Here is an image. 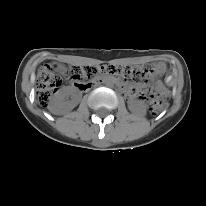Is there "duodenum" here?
Returning <instances> with one entry per match:
<instances>
[{
	"label": "duodenum",
	"mask_w": 206,
	"mask_h": 206,
	"mask_svg": "<svg viewBox=\"0 0 206 206\" xmlns=\"http://www.w3.org/2000/svg\"><path fill=\"white\" fill-rule=\"evenodd\" d=\"M106 83V78L105 77H100L96 82L95 84H105ZM116 83L118 85H122V82L119 81V80H116ZM88 87H90V84L88 85Z\"/></svg>",
	"instance_id": "obj_1"
}]
</instances>
